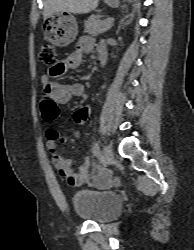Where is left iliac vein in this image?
Masks as SVG:
<instances>
[{
	"mask_svg": "<svg viewBox=\"0 0 194 250\" xmlns=\"http://www.w3.org/2000/svg\"><path fill=\"white\" fill-rule=\"evenodd\" d=\"M103 155L108 163L113 160L114 154H113L112 149L109 146H105L103 148Z\"/></svg>",
	"mask_w": 194,
	"mask_h": 250,
	"instance_id": "4c4485c4",
	"label": "left iliac vein"
}]
</instances>
